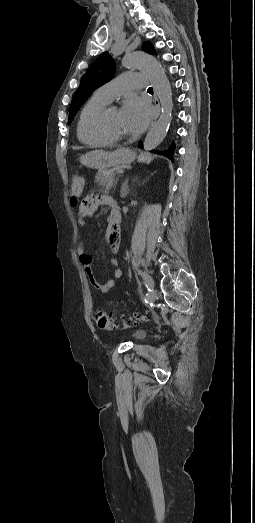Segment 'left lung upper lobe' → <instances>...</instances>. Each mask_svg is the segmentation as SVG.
Here are the masks:
<instances>
[{
	"instance_id": "1",
	"label": "left lung upper lobe",
	"mask_w": 255,
	"mask_h": 523,
	"mask_svg": "<svg viewBox=\"0 0 255 523\" xmlns=\"http://www.w3.org/2000/svg\"><path fill=\"white\" fill-rule=\"evenodd\" d=\"M142 48L149 54H156L154 46L149 42H144ZM115 73V63L108 52L102 53L83 76L79 88L76 90L69 110L68 124L80 109L81 105L87 100L92 92L110 81ZM140 146V144H139ZM164 154V153H162ZM166 156V154H164Z\"/></svg>"
}]
</instances>
